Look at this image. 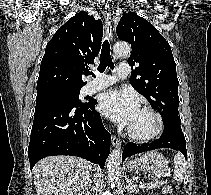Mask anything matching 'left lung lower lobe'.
<instances>
[{
  "label": "left lung lower lobe",
  "mask_w": 211,
  "mask_h": 195,
  "mask_svg": "<svg viewBox=\"0 0 211 195\" xmlns=\"http://www.w3.org/2000/svg\"><path fill=\"white\" fill-rule=\"evenodd\" d=\"M158 148H172L181 152L187 158L185 137L179 123L164 124V131L161 137L153 142L143 145L128 143L122 154V161L136 153L146 152Z\"/></svg>",
  "instance_id": "0a47b994"
}]
</instances>
